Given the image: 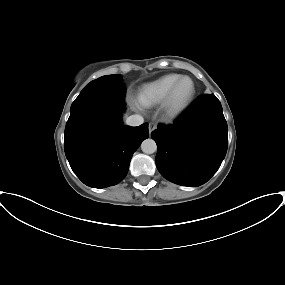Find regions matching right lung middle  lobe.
Returning <instances> with one entry per match:
<instances>
[{
	"label": "right lung middle lobe",
	"instance_id": "1",
	"mask_svg": "<svg viewBox=\"0 0 285 285\" xmlns=\"http://www.w3.org/2000/svg\"><path fill=\"white\" fill-rule=\"evenodd\" d=\"M111 93L125 95V88L122 86L120 74L102 76L87 84L72 103L70 111L90 97Z\"/></svg>",
	"mask_w": 285,
	"mask_h": 285
}]
</instances>
